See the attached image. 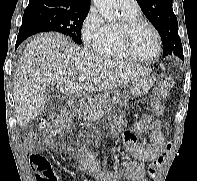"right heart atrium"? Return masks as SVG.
<instances>
[{"mask_svg":"<svg viewBox=\"0 0 197 181\" xmlns=\"http://www.w3.org/2000/svg\"><path fill=\"white\" fill-rule=\"evenodd\" d=\"M106 30L104 19L95 7H91L81 24V37L84 44L96 49L102 43Z\"/></svg>","mask_w":197,"mask_h":181,"instance_id":"obj_1","label":"right heart atrium"}]
</instances>
